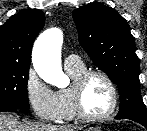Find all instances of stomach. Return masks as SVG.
<instances>
[{"instance_id":"obj_1","label":"stomach","mask_w":147,"mask_h":131,"mask_svg":"<svg viewBox=\"0 0 147 131\" xmlns=\"http://www.w3.org/2000/svg\"><path fill=\"white\" fill-rule=\"evenodd\" d=\"M84 131H101L99 128H88L85 129Z\"/></svg>"}]
</instances>
